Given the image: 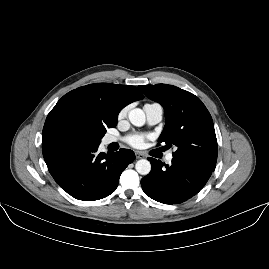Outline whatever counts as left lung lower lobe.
<instances>
[{
	"mask_svg": "<svg viewBox=\"0 0 269 269\" xmlns=\"http://www.w3.org/2000/svg\"><path fill=\"white\" fill-rule=\"evenodd\" d=\"M148 160L152 169L142 178V189L147 196L164 204L188 200L203 188L214 171L175 157L171 165L154 158Z\"/></svg>",
	"mask_w": 269,
	"mask_h": 269,
	"instance_id": "obj_1",
	"label": "left lung lower lobe"
}]
</instances>
